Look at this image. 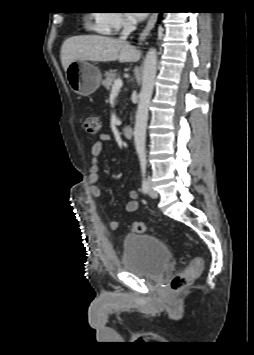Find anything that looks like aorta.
Masks as SVG:
<instances>
[{
	"label": "aorta",
	"instance_id": "aorta-1",
	"mask_svg": "<svg viewBox=\"0 0 254 355\" xmlns=\"http://www.w3.org/2000/svg\"><path fill=\"white\" fill-rule=\"evenodd\" d=\"M157 72V50L150 48L146 54L144 66L142 87L139 94L138 108L136 112V121L134 127V142L137 155L145 157L146 128L148 121V108L153 94L154 82Z\"/></svg>",
	"mask_w": 254,
	"mask_h": 355
}]
</instances>
